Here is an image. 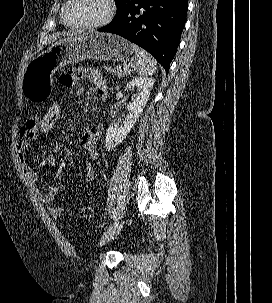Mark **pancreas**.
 <instances>
[{
    "label": "pancreas",
    "mask_w": 272,
    "mask_h": 303,
    "mask_svg": "<svg viewBox=\"0 0 272 303\" xmlns=\"http://www.w3.org/2000/svg\"><path fill=\"white\" fill-rule=\"evenodd\" d=\"M130 72H131L130 69H124V67H122V66H120V65L117 66V67L115 68V71H114V73H115L119 78L125 77V76L129 75Z\"/></svg>",
    "instance_id": "1"
}]
</instances>
